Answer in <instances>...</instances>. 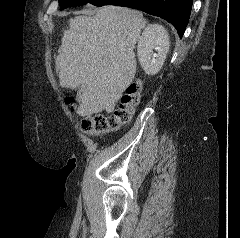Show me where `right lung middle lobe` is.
I'll list each match as a JSON object with an SVG mask.
<instances>
[{"label": "right lung middle lobe", "mask_w": 240, "mask_h": 238, "mask_svg": "<svg viewBox=\"0 0 240 238\" xmlns=\"http://www.w3.org/2000/svg\"><path fill=\"white\" fill-rule=\"evenodd\" d=\"M107 0H59L60 9H65L70 6H81L83 4H93L96 5L99 2H105Z\"/></svg>", "instance_id": "right-lung-middle-lobe-1"}]
</instances>
